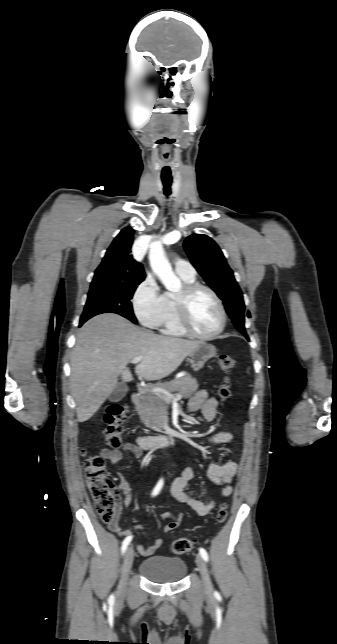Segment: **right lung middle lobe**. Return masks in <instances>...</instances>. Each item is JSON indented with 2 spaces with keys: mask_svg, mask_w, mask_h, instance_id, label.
<instances>
[{
  "mask_svg": "<svg viewBox=\"0 0 337 644\" xmlns=\"http://www.w3.org/2000/svg\"><path fill=\"white\" fill-rule=\"evenodd\" d=\"M140 283L91 284L80 322H85L98 314L116 313L136 323L130 300Z\"/></svg>",
  "mask_w": 337,
  "mask_h": 644,
  "instance_id": "obj_1",
  "label": "right lung middle lobe"
}]
</instances>
